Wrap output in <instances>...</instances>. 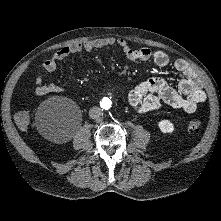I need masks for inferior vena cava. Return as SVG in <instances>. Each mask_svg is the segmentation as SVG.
<instances>
[{
    "mask_svg": "<svg viewBox=\"0 0 221 221\" xmlns=\"http://www.w3.org/2000/svg\"><path fill=\"white\" fill-rule=\"evenodd\" d=\"M102 114V110L100 107L94 106L92 108H90L89 110V116L92 119H97L101 116Z\"/></svg>",
    "mask_w": 221,
    "mask_h": 221,
    "instance_id": "1",
    "label": "inferior vena cava"
}]
</instances>
